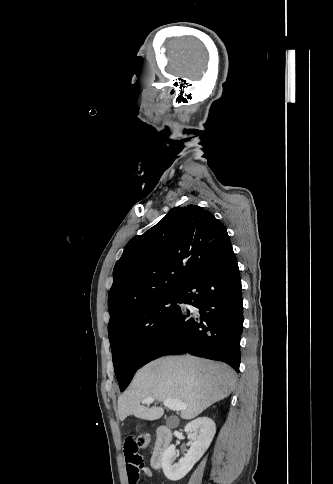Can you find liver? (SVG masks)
<instances>
[{
	"mask_svg": "<svg viewBox=\"0 0 333 484\" xmlns=\"http://www.w3.org/2000/svg\"><path fill=\"white\" fill-rule=\"evenodd\" d=\"M235 383V372L220 362L189 355L159 358L141 368L128 390L119 396V419L124 421L129 415L149 421L161 418L162 407L140 405L147 397L157 402L180 399L187 404L180 417L193 419L213 403L228 397Z\"/></svg>",
	"mask_w": 333,
	"mask_h": 484,
	"instance_id": "1",
	"label": "liver"
}]
</instances>
